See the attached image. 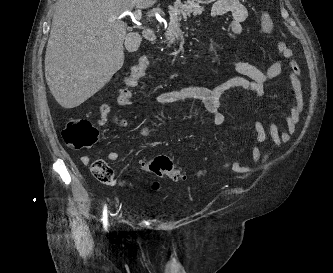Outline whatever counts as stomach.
<instances>
[{"label":"stomach","instance_id":"0dacf381","mask_svg":"<svg viewBox=\"0 0 333 273\" xmlns=\"http://www.w3.org/2000/svg\"><path fill=\"white\" fill-rule=\"evenodd\" d=\"M195 1L197 4H208V3H211V2H214V0H193Z\"/></svg>","mask_w":333,"mask_h":273}]
</instances>
